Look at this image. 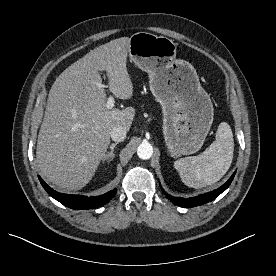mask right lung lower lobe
<instances>
[{"instance_id":"1","label":"right lung lower lobe","mask_w":276,"mask_h":276,"mask_svg":"<svg viewBox=\"0 0 276 276\" xmlns=\"http://www.w3.org/2000/svg\"><path fill=\"white\" fill-rule=\"evenodd\" d=\"M38 178L43 188L51 197H53L54 199H56L66 207H69L75 210L94 209V208L103 206L114 197L117 191L116 189H114L112 191H109L103 195L96 196V197L62 194L50 188L40 176H38Z\"/></svg>"}]
</instances>
